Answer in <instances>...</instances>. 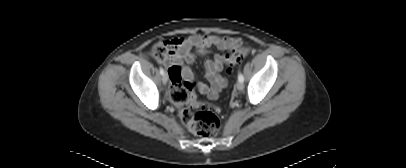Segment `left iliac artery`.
<instances>
[{
    "instance_id": "44dca946",
    "label": "left iliac artery",
    "mask_w": 406,
    "mask_h": 168,
    "mask_svg": "<svg viewBox=\"0 0 406 168\" xmlns=\"http://www.w3.org/2000/svg\"><path fill=\"white\" fill-rule=\"evenodd\" d=\"M238 80L241 82L244 81V76L241 73L238 74Z\"/></svg>"
}]
</instances>
